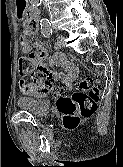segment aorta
Listing matches in <instances>:
<instances>
[{
  "label": "aorta",
  "instance_id": "762f6f07",
  "mask_svg": "<svg viewBox=\"0 0 123 167\" xmlns=\"http://www.w3.org/2000/svg\"><path fill=\"white\" fill-rule=\"evenodd\" d=\"M33 4L39 6L42 0H31ZM41 32L44 34H49L52 29L49 21L45 18L40 20Z\"/></svg>",
  "mask_w": 123,
  "mask_h": 167
}]
</instances>
